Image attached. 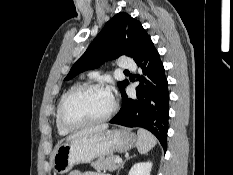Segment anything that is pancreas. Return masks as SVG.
Returning a JSON list of instances; mask_svg holds the SVG:
<instances>
[{
  "label": "pancreas",
  "mask_w": 233,
  "mask_h": 175,
  "mask_svg": "<svg viewBox=\"0 0 233 175\" xmlns=\"http://www.w3.org/2000/svg\"><path fill=\"white\" fill-rule=\"evenodd\" d=\"M117 156L99 157L96 161L91 163V166L96 170L114 171L118 169L119 164L115 162Z\"/></svg>",
  "instance_id": "1"
}]
</instances>
